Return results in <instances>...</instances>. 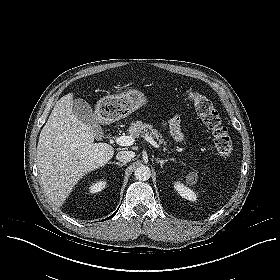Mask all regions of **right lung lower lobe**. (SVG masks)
Listing matches in <instances>:
<instances>
[{"instance_id": "right-lung-lower-lobe-1", "label": "right lung lower lobe", "mask_w": 280, "mask_h": 280, "mask_svg": "<svg viewBox=\"0 0 280 280\" xmlns=\"http://www.w3.org/2000/svg\"><path fill=\"white\" fill-rule=\"evenodd\" d=\"M117 212V211H116ZM116 212L114 213V214H112L109 218H107V219H110V218H112L115 214H116Z\"/></svg>"}]
</instances>
